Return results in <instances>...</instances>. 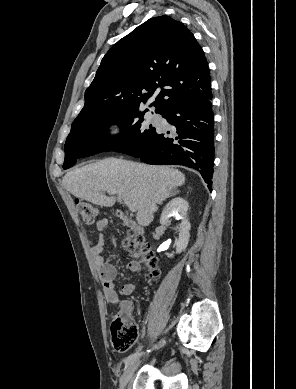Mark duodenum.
I'll use <instances>...</instances> for the list:
<instances>
[{
	"instance_id": "1",
	"label": "duodenum",
	"mask_w": 296,
	"mask_h": 389,
	"mask_svg": "<svg viewBox=\"0 0 296 389\" xmlns=\"http://www.w3.org/2000/svg\"><path fill=\"white\" fill-rule=\"evenodd\" d=\"M120 215V218L122 219L123 223L129 227L131 230H133L135 233L137 234H142L143 233V229L141 226H139L137 223H135L134 221H132L131 219H129L127 216H125L124 214H119Z\"/></svg>"
}]
</instances>
